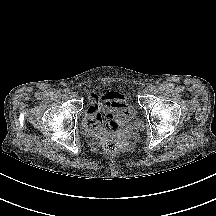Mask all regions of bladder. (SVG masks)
<instances>
[{
    "label": "bladder",
    "instance_id": "1",
    "mask_svg": "<svg viewBox=\"0 0 216 216\" xmlns=\"http://www.w3.org/2000/svg\"><path fill=\"white\" fill-rule=\"evenodd\" d=\"M119 127L124 129H134L140 126V122L132 116V114L127 116H119L118 117Z\"/></svg>",
    "mask_w": 216,
    "mask_h": 216
}]
</instances>
